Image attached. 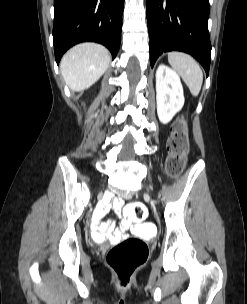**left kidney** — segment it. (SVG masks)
<instances>
[{
	"mask_svg": "<svg viewBox=\"0 0 247 304\" xmlns=\"http://www.w3.org/2000/svg\"><path fill=\"white\" fill-rule=\"evenodd\" d=\"M156 101L159 120L164 124L182 109L185 101L179 75L164 64L156 71Z\"/></svg>",
	"mask_w": 247,
	"mask_h": 304,
	"instance_id": "1",
	"label": "left kidney"
}]
</instances>
